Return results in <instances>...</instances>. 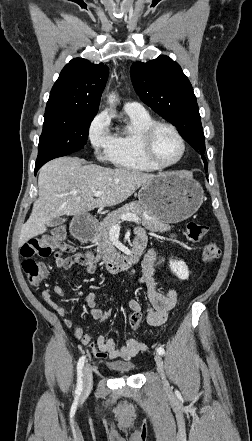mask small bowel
Masks as SVG:
<instances>
[{"label": "small bowel", "instance_id": "small-bowel-1", "mask_svg": "<svg viewBox=\"0 0 252 441\" xmlns=\"http://www.w3.org/2000/svg\"><path fill=\"white\" fill-rule=\"evenodd\" d=\"M134 244H142L145 248L146 235L143 231L139 230L137 232ZM64 253H71V255L65 257ZM75 264L83 266L88 273H94L97 269L94 256L85 257L81 253H74V248L71 246H67L66 250L57 251L55 253V266L57 268L67 270ZM155 264L156 253L153 250H148L143 261L142 269L138 274V281L147 289V322L153 327H158L166 322L169 312L175 307L177 302V292L175 289H170L167 293H162L156 289L154 280ZM53 292L60 297L64 296V290L59 285H54ZM42 297L59 316L63 317L64 324L74 330L75 338L81 340L84 344L91 340V335L84 333L80 326L74 324L72 320L67 318L66 310L52 300L50 290H44ZM84 301L89 307V315L94 320H99L102 311L98 308L96 294L92 292L87 293L84 295ZM127 304L128 308L131 310L142 311L141 304L135 299L129 300ZM97 345L98 349L106 353L107 357L110 359L131 360L147 349L144 342L134 338H129L125 345L118 347L113 339L108 338L105 335H100L97 338Z\"/></svg>", "mask_w": 252, "mask_h": 441}]
</instances>
